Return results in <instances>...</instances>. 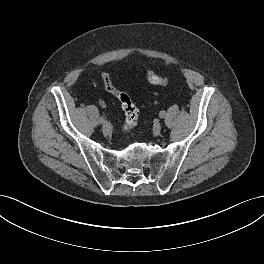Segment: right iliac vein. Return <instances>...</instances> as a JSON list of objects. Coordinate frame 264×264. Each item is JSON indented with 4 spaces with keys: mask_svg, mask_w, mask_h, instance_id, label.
<instances>
[{
    "mask_svg": "<svg viewBox=\"0 0 264 264\" xmlns=\"http://www.w3.org/2000/svg\"><path fill=\"white\" fill-rule=\"evenodd\" d=\"M102 127H103V129L106 131V130L109 128V123H108L107 121H104V122L102 123Z\"/></svg>",
    "mask_w": 264,
    "mask_h": 264,
    "instance_id": "1",
    "label": "right iliac vein"
}]
</instances>
